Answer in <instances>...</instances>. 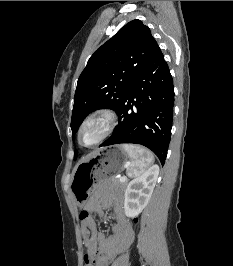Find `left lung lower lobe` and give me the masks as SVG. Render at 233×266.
Segmentation results:
<instances>
[{"label": "left lung lower lobe", "mask_w": 233, "mask_h": 266, "mask_svg": "<svg viewBox=\"0 0 233 266\" xmlns=\"http://www.w3.org/2000/svg\"><path fill=\"white\" fill-rule=\"evenodd\" d=\"M174 87L167 63L157 46L117 110L119 124L100 147L141 144L165 163L173 122Z\"/></svg>", "instance_id": "0a47b994"}]
</instances>
